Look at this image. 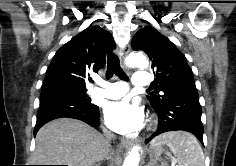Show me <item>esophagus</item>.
Wrapping results in <instances>:
<instances>
[{
  "mask_svg": "<svg viewBox=\"0 0 236 166\" xmlns=\"http://www.w3.org/2000/svg\"><path fill=\"white\" fill-rule=\"evenodd\" d=\"M128 53H129V47H125L123 49V53H122V55L120 57L121 64H122L123 67H126V58H127ZM133 144H134V140H132V139H125V138H123L121 140V146L122 147H130Z\"/></svg>",
  "mask_w": 236,
  "mask_h": 166,
  "instance_id": "1",
  "label": "esophagus"
}]
</instances>
